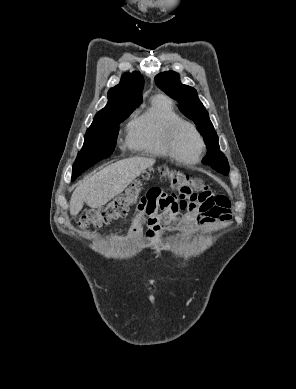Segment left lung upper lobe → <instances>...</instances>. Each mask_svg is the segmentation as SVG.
<instances>
[{
    "mask_svg": "<svg viewBox=\"0 0 296 389\" xmlns=\"http://www.w3.org/2000/svg\"><path fill=\"white\" fill-rule=\"evenodd\" d=\"M156 85L180 104V111L192 119L207 145L208 154L203 159L217 172L227 175L229 164L225 155L219 150L218 136L211 123L208 112L198 98L193 87L180 83L179 74L173 71L159 73L155 77Z\"/></svg>",
    "mask_w": 296,
    "mask_h": 389,
    "instance_id": "obj_1",
    "label": "left lung upper lobe"
}]
</instances>
